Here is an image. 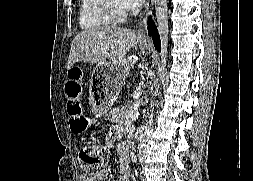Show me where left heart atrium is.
<instances>
[{"label":"left heart atrium","mask_w":253,"mask_h":181,"mask_svg":"<svg viewBox=\"0 0 253 181\" xmlns=\"http://www.w3.org/2000/svg\"><path fill=\"white\" fill-rule=\"evenodd\" d=\"M126 10H136L143 6L145 0H122Z\"/></svg>","instance_id":"obj_1"}]
</instances>
